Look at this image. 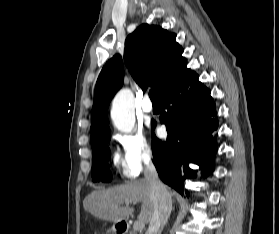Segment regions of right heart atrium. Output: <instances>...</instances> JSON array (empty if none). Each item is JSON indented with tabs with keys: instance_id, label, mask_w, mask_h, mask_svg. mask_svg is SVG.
Returning <instances> with one entry per match:
<instances>
[{
	"instance_id": "obj_1",
	"label": "right heart atrium",
	"mask_w": 279,
	"mask_h": 234,
	"mask_svg": "<svg viewBox=\"0 0 279 234\" xmlns=\"http://www.w3.org/2000/svg\"><path fill=\"white\" fill-rule=\"evenodd\" d=\"M122 149V166L127 177L138 176L153 160V149L142 132L131 131L118 135Z\"/></svg>"
}]
</instances>
